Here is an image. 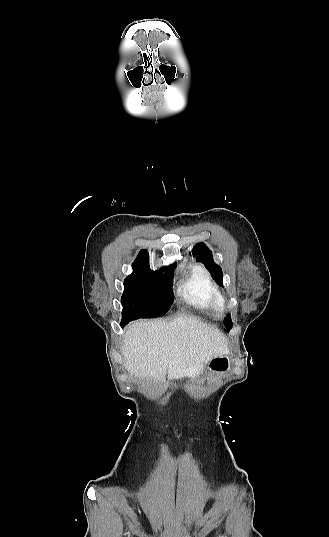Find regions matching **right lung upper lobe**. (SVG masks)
<instances>
[{
  "instance_id": "1",
  "label": "right lung upper lobe",
  "mask_w": 329,
  "mask_h": 537,
  "mask_svg": "<svg viewBox=\"0 0 329 537\" xmlns=\"http://www.w3.org/2000/svg\"><path fill=\"white\" fill-rule=\"evenodd\" d=\"M143 267H149V254L147 250H141L135 259V261L132 264V268L139 269ZM174 264L170 265L169 267L164 268L165 270L173 269Z\"/></svg>"
}]
</instances>
